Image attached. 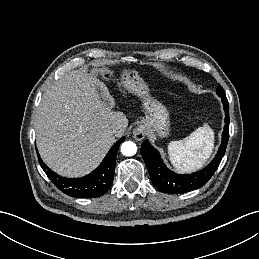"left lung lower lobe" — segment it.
Here are the masks:
<instances>
[{"label": "left lung lower lobe", "mask_w": 259, "mask_h": 259, "mask_svg": "<svg viewBox=\"0 0 259 259\" xmlns=\"http://www.w3.org/2000/svg\"><path fill=\"white\" fill-rule=\"evenodd\" d=\"M225 110V126L222 134L221 146L212 160L204 169L193 173L179 175L169 170L163 163L159 152L153 148L148 140L141 145V154L148 168L153 184L164 193H186L204 186L218 168L227 147L229 139V103L226 95L220 96Z\"/></svg>", "instance_id": "1"}]
</instances>
